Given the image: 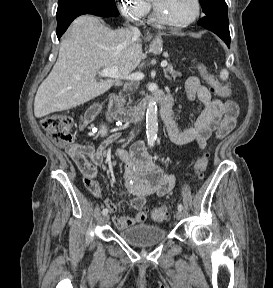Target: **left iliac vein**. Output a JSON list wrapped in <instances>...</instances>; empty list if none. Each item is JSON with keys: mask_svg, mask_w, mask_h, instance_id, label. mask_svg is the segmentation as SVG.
<instances>
[{"mask_svg": "<svg viewBox=\"0 0 273 288\" xmlns=\"http://www.w3.org/2000/svg\"><path fill=\"white\" fill-rule=\"evenodd\" d=\"M175 218H176L177 220L182 219V218H183V212L180 211V210H178V211L176 212V214H175Z\"/></svg>", "mask_w": 273, "mask_h": 288, "instance_id": "1", "label": "left iliac vein"}]
</instances>
